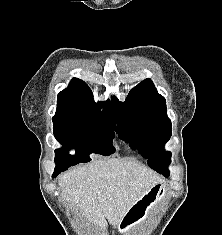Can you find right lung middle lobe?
I'll return each instance as SVG.
<instances>
[{
  "label": "right lung middle lobe",
  "instance_id": "dd1d6c3e",
  "mask_svg": "<svg viewBox=\"0 0 222 235\" xmlns=\"http://www.w3.org/2000/svg\"><path fill=\"white\" fill-rule=\"evenodd\" d=\"M117 121L94 115H64L53 117L54 136L63 145L55 150L54 174L79 162H89L88 153L109 156L114 153L112 139ZM75 148V155L69 154Z\"/></svg>",
  "mask_w": 222,
  "mask_h": 235
}]
</instances>
